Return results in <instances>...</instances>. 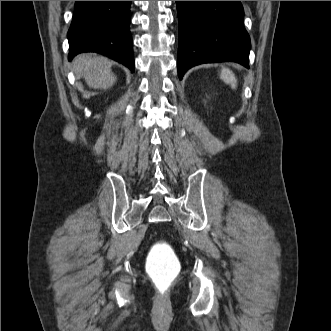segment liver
Wrapping results in <instances>:
<instances>
[{"label":"liver","mask_w":331,"mask_h":331,"mask_svg":"<svg viewBox=\"0 0 331 331\" xmlns=\"http://www.w3.org/2000/svg\"><path fill=\"white\" fill-rule=\"evenodd\" d=\"M73 67L77 74L84 77L87 85L94 89L110 88L116 81L110 61L100 55L80 54L74 58Z\"/></svg>","instance_id":"liver-1"}]
</instances>
